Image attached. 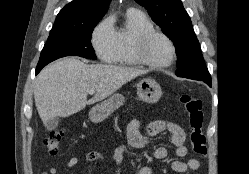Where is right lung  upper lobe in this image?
<instances>
[{"label":"right lung upper lobe","instance_id":"right-lung-upper-lobe-1","mask_svg":"<svg viewBox=\"0 0 249 174\" xmlns=\"http://www.w3.org/2000/svg\"><path fill=\"white\" fill-rule=\"evenodd\" d=\"M111 0H74L57 15L52 30L69 29L99 21L108 10Z\"/></svg>","mask_w":249,"mask_h":174}]
</instances>
